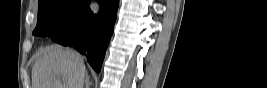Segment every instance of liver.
Listing matches in <instances>:
<instances>
[{
  "label": "liver",
  "instance_id": "liver-1",
  "mask_svg": "<svg viewBox=\"0 0 267 88\" xmlns=\"http://www.w3.org/2000/svg\"><path fill=\"white\" fill-rule=\"evenodd\" d=\"M85 72L77 52L58 45L47 47L33 66L32 88H80Z\"/></svg>",
  "mask_w": 267,
  "mask_h": 88
}]
</instances>
